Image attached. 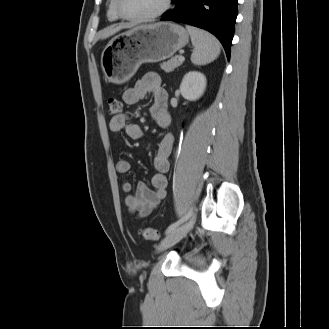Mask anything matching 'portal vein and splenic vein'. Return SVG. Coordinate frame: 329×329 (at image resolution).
Instances as JSON below:
<instances>
[{
  "mask_svg": "<svg viewBox=\"0 0 329 329\" xmlns=\"http://www.w3.org/2000/svg\"><path fill=\"white\" fill-rule=\"evenodd\" d=\"M185 60V58L183 56L179 57V61L183 62Z\"/></svg>",
  "mask_w": 329,
  "mask_h": 329,
  "instance_id": "18ae733b",
  "label": "portal vein and splenic vein"
}]
</instances>
